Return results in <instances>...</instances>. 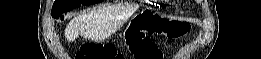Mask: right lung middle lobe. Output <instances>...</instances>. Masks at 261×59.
<instances>
[{
	"mask_svg": "<svg viewBox=\"0 0 261 59\" xmlns=\"http://www.w3.org/2000/svg\"><path fill=\"white\" fill-rule=\"evenodd\" d=\"M102 2V0H56L52 7V17L62 19V14L66 11L77 8L81 5H89Z\"/></svg>",
	"mask_w": 261,
	"mask_h": 59,
	"instance_id": "dd1d6c3e",
	"label": "right lung middle lobe"
}]
</instances>
